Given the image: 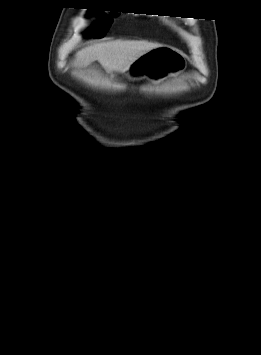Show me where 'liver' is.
Listing matches in <instances>:
<instances>
[{
	"label": "liver",
	"instance_id": "liver-1",
	"mask_svg": "<svg viewBox=\"0 0 261 355\" xmlns=\"http://www.w3.org/2000/svg\"><path fill=\"white\" fill-rule=\"evenodd\" d=\"M161 46L157 43L137 40H116L94 44L75 54V66L86 67L98 61L108 73H123L146 52Z\"/></svg>",
	"mask_w": 261,
	"mask_h": 355
}]
</instances>
